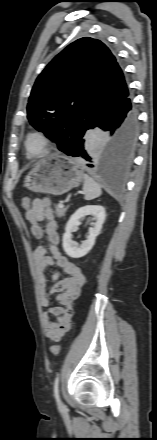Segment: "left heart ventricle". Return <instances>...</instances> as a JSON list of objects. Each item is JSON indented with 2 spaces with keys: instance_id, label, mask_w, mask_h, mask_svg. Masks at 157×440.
Listing matches in <instances>:
<instances>
[{
  "instance_id": "1",
  "label": "left heart ventricle",
  "mask_w": 157,
  "mask_h": 440,
  "mask_svg": "<svg viewBox=\"0 0 157 440\" xmlns=\"http://www.w3.org/2000/svg\"><path fill=\"white\" fill-rule=\"evenodd\" d=\"M29 151L33 154H38L43 151L44 144L38 137H31L28 142Z\"/></svg>"
}]
</instances>
